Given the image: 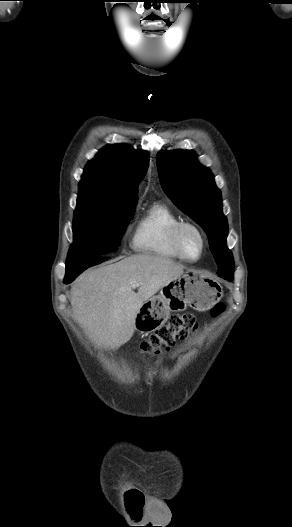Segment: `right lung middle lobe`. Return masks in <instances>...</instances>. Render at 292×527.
Instances as JSON below:
<instances>
[{"instance_id": "right-lung-middle-lobe-1", "label": "right lung middle lobe", "mask_w": 292, "mask_h": 527, "mask_svg": "<svg viewBox=\"0 0 292 527\" xmlns=\"http://www.w3.org/2000/svg\"><path fill=\"white\" fill-rule=\"evenodd\" d=\"M137 201L113 202L80 193L74 212V244L67 260L91 259L117 250Z\"/></svg>"}]
</instances>
